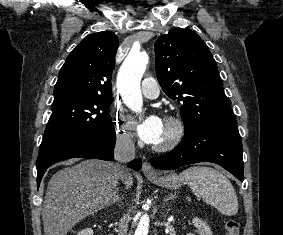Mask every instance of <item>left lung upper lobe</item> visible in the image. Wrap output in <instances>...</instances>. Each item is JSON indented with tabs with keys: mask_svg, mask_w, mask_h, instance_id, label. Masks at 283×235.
Segmentation results:
<instances>
[{
	"mask_svg": "<svg viewBox=\"0 0 283 235\" xmlns=\"http://www.w3.org/2000/svg\"><path fill=\"white\" fill-rule=\"evenodd\" d=\"M156 75L181 105L185 134L236 123L211 52L189 29L175 28L155 43Z\"/></svg>",
	"mask_w": 283,
	"mask_h": 235,
	"instance_id": "1",
	"label": "left lung upper lobe"
}]
</instances>
